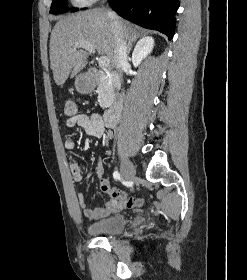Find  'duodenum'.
Segmentation results:
<instances>
[{"mask_svg": "<svg viewBox=\"0 0 247 280\" xmlns=\"http://www.w3.org/2000/svg\"><path fill=\"white\" fill-rule=\"evenodd\" d=\"M98 75H99L98 71L94 68L90 69L87 72V84L89 88H91L95 84ZM112 76L115 77V75ZM121 110H122V99L120 98L114 101L109 106V108L105 111L104 113L105 124L109 127L115 126L118 122Z\"/></svg>", "mask_w": 247, "mask_h": 280, "instance_id": "duodenum-1", "label": "duodenum"}]
</instances>
